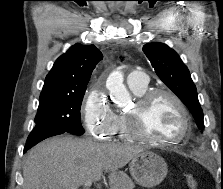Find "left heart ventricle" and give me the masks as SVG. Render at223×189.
Wrapping results in <instances>:
<instances>
[{
    "label": "left heart ventricle",
    "mask_w": 223,
    "mask_h": 189,
    "mask_svg": "<svg viewBox=\"0 0 223 189\" xmlns=\"http://www.w3.org/2000/svg\"><path fill=\"white\" fill-rule=\"evenodd\" d=\"M142 131L158 139L176 138L182 128V116L173 101L162 96L154 100L140 120Z\"/></svg>",
    "instance_id": "left-heart-ventricle-1"
}]
</instances>
